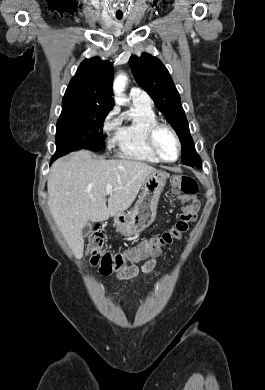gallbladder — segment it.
<instances>
[{"instance_id":"bac80fb5","label":"gallbladder","mask_w":265,"mask_h":390,"mask_svg":"<svg viewBox=\"0 0 265 390\" xmlns=\"http://www.w3.org/2000/svg\"><path fill=\"white\" fill-rule=\"evenodd\" d=\"M92 230V224L90 222H87L86 225L82 229V236L86 237L91 233Z\"/></svg>"}]
</instances>
